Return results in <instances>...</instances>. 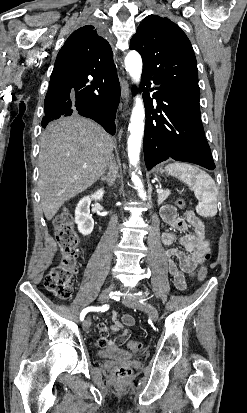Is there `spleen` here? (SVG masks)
I'll use <instances>...</instances> for the list:
<instances>
[{
	"mask_svg": "<svg viewBox=\"0 0 247 413\" xmlns=\"http://www.w3.org/2000/svg\"><path fill=\"white\" fill-rule=\"evenodd\" d=\"M165 170H169L171 174H175L180 180L191 186L195 196L200 200L196 207L199 213L203 211L205 217L216 215L218 190L215 180L210 174L197 166L187 164V162H172V164L165 166Z\"/></svg>",
	"mask_w": 247,
	"mask_h": 413,
	"instance_id": "3e777b00",
	"label": "spleen"
}]
</instances>
